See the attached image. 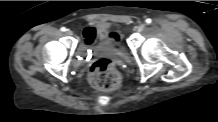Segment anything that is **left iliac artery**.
Listing matches in <instances>:
<instances>
[{
  "instance_id": "obj_1",
  "label": "left iliac artery",
  "mask_w": 218,
  "mask_h": 122,
  "mask_svg": "<svg viewBox=\"0 0 218 122\" xmlns=\"http://www.w3.org/2000/svg\"><path fill=\"white\" fill-rule=\"evenodd\" d=\"M152 22V20L150 18L146 19V23L150 24Z\"/></svg>"
}]
</instances>
